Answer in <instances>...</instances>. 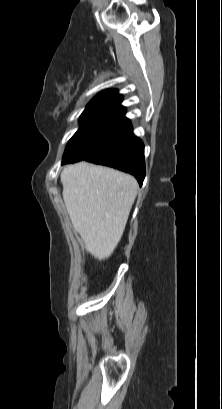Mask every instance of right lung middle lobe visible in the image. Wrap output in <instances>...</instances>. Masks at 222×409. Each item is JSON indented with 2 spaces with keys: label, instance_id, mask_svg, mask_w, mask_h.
I'll list each match as a JSON object with an SVG mask.
<instances>
[{
  "label": "right lung middle lobe",
  "instance_id": "dd1d6c3e",
  "mask_svg": "<svg viewBox=\"0 0 222 409\" xmlns=\"http://www.w3.org/2000/svg\"><path fill=\"white\" fill-rule=\"evenodd\" d=\"M125 108L85 109L80 127L67 144L62 164L84 160L99 150Z\"/></svg>",
  "mask_w": 222,
  "mask_h": 409
}]
</instances>
